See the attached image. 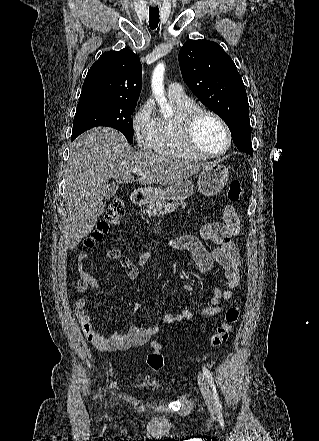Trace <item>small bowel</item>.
<instances>
[{"instance_id":"small-bowel-1","label":"small bowel","mask_w":319,"mask_h":441,"mask_svg":"<svg viewBox=\"0 0 319 441\" xmlns=\"http://www.w3.org/2000/svg\"><path fill=\"white\" fill-rule=\"evenodd\" d=\"M222 223H208L203 226L201 238L194 235H183L170 240L171 247L177 250L186 251L191 254L193 261L203 274H210L215 265H219L223 271L226 280L227 289L223 290L218 285L213 284V298L209 307L202 310V315L212 317L221 311L222 303L233 297L234 290L240 282L239 267L241 265L240 254L234 242V238L239 235L241 230L240 219L231 205H227L223 212ZM201 239L210 240L217 245L213 250H207ZM109 258L120 262L122 272L129 279H136L139 273V267L129 258L122 255L119 251L113 250L109 253ZM150 257L146 252L139 258V266L144 265ZM82 255H79V260ZM79 281L77 290L81 294L87 289L97 291L99 284L97 279L83 269L81 263L78 265ZM183 289L190 295L194 293V286L191 283H185ZM141 307V304H136ZM74 313L76 319L87 339L101 351H125L131 347H140L145 345L152 336L159 333L157 326L136 327L131 326L126 333L114 332L109 337L102 336L94 327L90 316V309L86 304V299L81 295L75 304ZM193 318V313L184 308L177 314H166L162 317L165 324H174L177 322L188 321Z\"/></svg>"}]
</instances>
